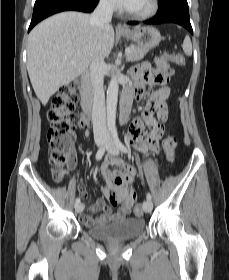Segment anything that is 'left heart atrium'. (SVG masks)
Segmentation results:
<instances>
[{
	"label": "left heart atrium",
	"mask_w": 229,
	"mask_h": 280,
	"mask_svg": "<svg viewBox=\"0 0 229 280\" xmlns=\"http://www.w3.org/2000/svg\"><path fill=\"white\" fill-rule=\"evenodd\" d=\"M133 0H115V2L123 8H128Z\"/></svg>",
	"instance_id": "39dd6f15"
}]
</instances>
